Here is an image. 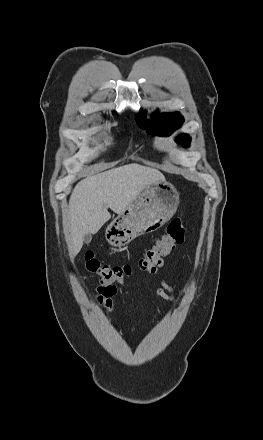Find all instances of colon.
<instances>
[{
  "label": "colon",
  "mask_w": 263,
  "mask_h": 440,
  "mask_svg": "<svg viewBox=\"0 0 263 440\" xmlns=\"http://www.w3.org/2000/svg\"><path fill=\"white\" fill-rule=\"evenodd\" d=\"M186 227L181 219L175 218L168 224L166 231L134 264L101 263L92 252L85 254V268L95 276L101 286L114 287L121 284L134 270L144 273L155 272L163 262V258L184 241Z\"/></svg>",
  "instance_id": "1"
}]
</instances>
